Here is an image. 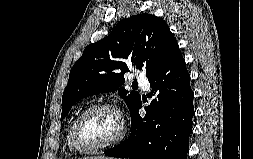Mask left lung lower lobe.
<instances>
[{
    "mask_svg": "<svg viewBox=\"0 0 253 159\" xmlns=\"http://www.w3.org/2000/svg\"><path fill=\"white\" fill-rule=\"evenodd\" d=\"M154 99L141 117V100L130 113L131 134L105 155L131 159H187L194 115L190 75L180 50L148 78Z\"/></svg>",
    "mask_w": 253,
    "mask_h": 159,
    "instance_id": "0a47b994",
    "label": "left lung lower lobe"
}]
</instances>
